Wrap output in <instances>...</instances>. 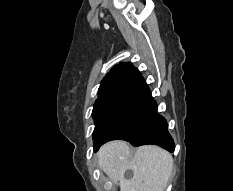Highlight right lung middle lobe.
<instances>
[{
    "mask_svg": "<svg viewBox=\"0 0 233 191\" xmlns=\"http://www.w3.org/2000/svg\"><path fill=\"white\" fill-rule=\"evenodd\" d=\"M127 104V95L113 96L95 102L92 116L95 121L93 142L95 143L114 122Z\"/></svg>",
    "mask_w": 233,
    "mask_h": 191,
    "instance_id": "right-lung-middle-lobe-1",
    "label": "right lung middle lobe"
}]
</instances>
